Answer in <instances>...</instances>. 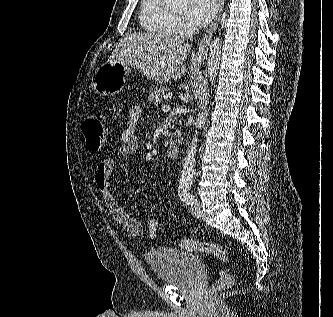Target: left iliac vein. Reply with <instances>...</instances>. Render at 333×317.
<instances>
[{
  "label": "left iliac vein",
  "instance_id": "1",
  "mask_svg": "<svg viewBox=\"0 0 333 317\" xmlns=\"http://www.w3.org/2000/svg\"><path fill=\"white\" fill-rule=\"evenodd\" d=\"M191 212L195 217H201L202 211L198 199H194L191 204Z\"/></svg>",
  "mask_w": 333,
  "mask_h": 317
}]
</instances>
